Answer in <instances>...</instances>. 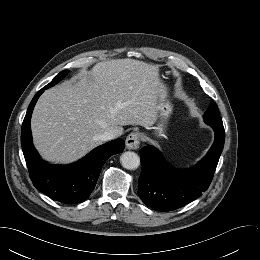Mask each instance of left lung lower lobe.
<instances>
[{"instance_id":"0a47b994","label":"left lung lower lobe","mask_w":260,"mask_h":260,"mask_svg":"<svg viewBox=\"0 0 260 260\" xmlns=\"http://www.w3.org/2000/svg\"><path fill=\"white\" fill-rule=\"evenodd\" d=\"M207 124L214 129V143L207 155L191 169L173 168L151 145L141 149L138 195L148 207L165 212L175 210L208 189L224 147L225 133L222 124Z\"/></svg>"}]
</instances>
